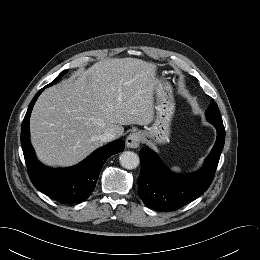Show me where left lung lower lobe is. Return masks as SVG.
<instances>
[{
  "label": "left lung lower lobe",
  "instance_id": "left-lung-lower-lobe-1",
  "mask_svg": "<svg viewBox=\"0 0 260 260\" xmlns=\"http://www.w3.org/2000/svg\"><path fill=\"white\" fill-rule=\"evenodd\" d=\"M210 122V121H209ZM217 129V140L204 166L189 175H177L164 167L149 148L140 151L141 173L138 195L147 207L158 211H174L198 198L210 186L224 147L223 122H211Z\"/></svg>",
  "mask_w": 260,
  "mask_h": 260
}]
</instances>
